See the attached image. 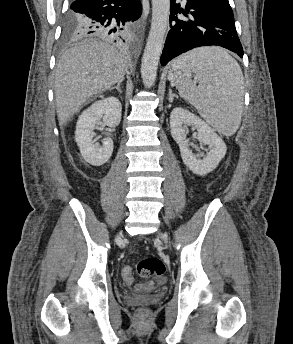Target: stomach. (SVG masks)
Wrapping results in <instances>:
<instances>
[{
  "label": "stomach",
  "instance_id": "stomach-1",
  "mask_svg": "<svg viewBox=\"0 0 293 344\" xmlns=\"http://www.w3.org/2000/svg\"><path fill=\"white\" fill-rule=\"evenodd\" d=\"M184 70L179 68L176 64H173L168 72V79L170 81H177L178 79H181L185 77Z\"/></svg>",
  "mask_w": 293,
  "mask_h": 344
}]
</instances>
